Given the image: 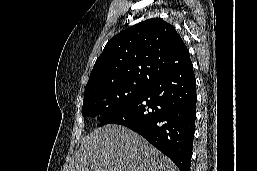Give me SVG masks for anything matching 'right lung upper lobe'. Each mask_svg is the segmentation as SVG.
Wrapping results in <instances>:
<instances>
[{
	"label": "right lung upper lobe",
	"instance_id": "cb5924a9",
	"mask_svg": "<svg viewBox=\"0 0 257 171\" xmlns=\"http://www.w3.org/2000/svg\"><path fill=\"white\" fill-rule=\"evenodd\" d=\"M189 62V51L175 28L161 18L148 19L108 41L85 92L117 83L150 84Z\"/></svg>",
	"mask_w": 257,
	"mask_h": 171
}]
</instances>
